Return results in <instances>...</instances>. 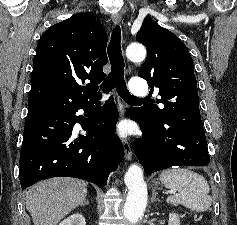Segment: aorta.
Returning a JSON list of instances; mask_svg holds the SVG:
<instances>
[{"instance_id": "obj_1", "label": "aorta", "mask_w": 237, "mask_h": 225, "mask_svg": "<svg viewBox=\"0 0 237 225\" xmlns=\"http://www.w3.org/2000/svg\"><path fill=\"white\" fill-rule=\"evenodd\" d=\"M126 56L133 62H142L146 57V49L140 44H130L126 49ZM124 182L129 190L124 215L130 222L135 223L143 215L147 204V185L142 169L132 164L125 173Z\"/></svg>"}]
</instances>
